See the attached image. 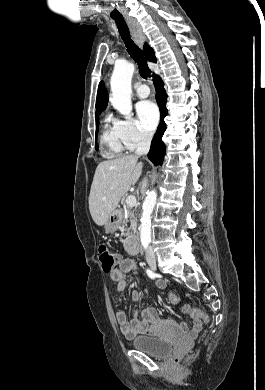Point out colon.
Returning <instances> with one entry per match:
<instances>
[{
	"label": "colon",
	"mask_w": 265,
	"mask_h": 390,
	"mask_svg": "<svg viewBox=\"0 0 265 390\" xmlns=\"http://www.w3.org/2000/svg\"><path fill=\"white\" fill-rule=\"evenodd\" d=\"M98 256L104 272L110 273L115 269V265L117 264L116 255L112 253L108 247L101 245L98 249ZM168 299L173 304H176L179 301L178 296L173 292L168 294ZM183 312L193 319H198L203 322L207 321L206 314L198 308L184 305Z\"/></svg>",
	"instance_id": "1"
}]
</instances>
